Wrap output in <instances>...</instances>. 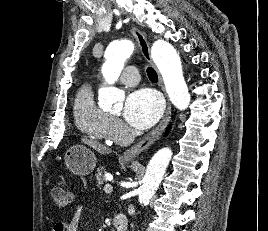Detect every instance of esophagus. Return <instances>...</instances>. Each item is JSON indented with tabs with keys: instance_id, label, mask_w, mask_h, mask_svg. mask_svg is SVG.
I'll return each mask as SVG.
<instances>
[{
	"instance_id": "esophagus-1",
	"label": "esophagus",
	"mask_w": 268,
	"mask_h": 231,
	"mask_svg": "<svg viewBox=\"0 0 268 231\" xmlns=\"http://www.w3.org/2000/svg\"><path fill=\"white\" fill-rule=\"evenodd\" d=\"M131 32L134 35V37L137 40V44L139 48L141 49V52L144 56V58L153 66L155 67L151 54H150V46L146 39V37L143 35V33L137 29L136 27L131 28ZM161 87L163 92H165L164 87L160 81ZM172 116V106L167 98V107L165 110V113L158 123V125L145 137L143 138L139 143L133 145L131 148L127 149L124 154L123 158L125 160H135V158L141 154L142 152L146 151L156 140L159 139L161 134L164 132L165 128L170 122Z\"/></svg>"
}]
</instances>
